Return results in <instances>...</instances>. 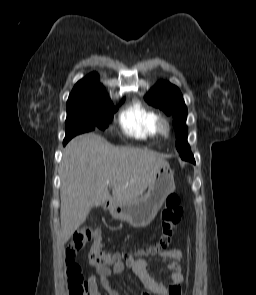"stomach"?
<instances>
[{
	"label": "stomach",
	"instance_id": "stomach-1",
	"mask_svg": "<svg viewBox=\"0 0 256 295\" xmlns=\"http://www.w3.org/2000/svg\"><path fill=\"white\" fill-rule=\"evenodd\" d=\"M174 190V173L169 164H165L157 171L144 196L126 204H111L110 214L134 228L146 227L154 220L164 201Z\"/></svg>",
	"mask_w": 256,
	"mask_h": 295
}]
</instances>
